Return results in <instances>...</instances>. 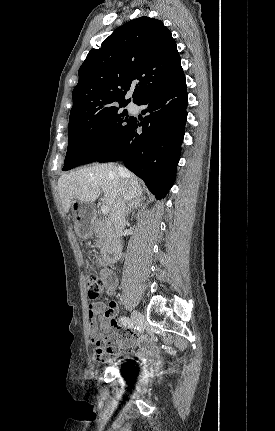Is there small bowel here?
Here are the masks:
<instances>
[{
  "label": "small bowel",
  "instance_id": "1",
  "mask_svg": "<svg viewBox=\"0 0 275 431\" xmlns=\"http://www.w3.org/2000/svg\"><path fill=\"white\" fill-rule=\"evenodd\" d=\"M106 292L111 295L116 289L117 278L111 272H103ZM104 309L103 304H93L89 308L90 341L94 345L93 357L98 361H110L134 353L141 360L157 353V348L150 341L134 333H125L114 319L116 310L114 304L107 311L105 323L98 322V317Z\"/></svg>",
  "mask_w": 275,
  "mask_h": 431
}]
</instances>
